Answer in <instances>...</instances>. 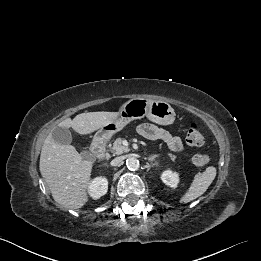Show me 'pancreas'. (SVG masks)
<instances>
[{
    "instance_id": "pancreas-1",
    "label": "pancreas",
    "mask_w": 261,
    "mask_h": 261,
    "mask_svg": "<svg viewBox=\"0 0 261 261\" xmlns=\"http://www.w3.org/2000/svg\"><path fill=\"white\" fill-rule=\"evenodd\" d=\"M122 141L123 139L122 138H117L113 145H109L110 147V152L113 154V155H121L123 154L124 152H126L128 150L127 147L123 146L122 144ZM168 156L170 157V159L172 161H175L176 160V156L173 155V154H168Z\"/></svg>"
}]
</instances>
